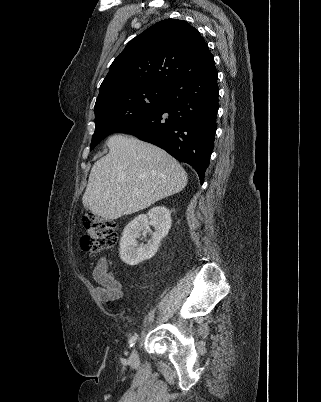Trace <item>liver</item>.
Segmentation results:
<instances>
[{
    "instance_id": "6515ba94",
    "label": "liver",
    "mask_w": 321,
    "mask_h": 402,
    "mask_svg": "<svg viewBox=\"0 0 321 402\" xmlns=\"http://www.w3.org/2000/svg\"><path fill=\"white\" fill-rule=\"evenodd\" d=\"M107 146L109 153L93 165L82 198L97 216L115 220L136 213L187 185L183 167L155 145L116 134Z\"/></svg>"
}]
</instances>
